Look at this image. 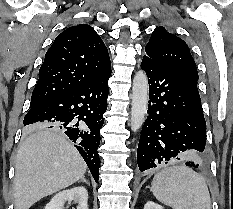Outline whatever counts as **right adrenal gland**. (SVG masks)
Returning a JSON list of instances; mask_svg holds the SVG:
<instances>
[{"mask_svg":"<svg viewBox=\"0 0 233 209\" xmlns=\"http://www.w3.org/2000/svg\"><path fill=\"white\" fill-rule=\"evenodd\" d=\"M82 181L85 182L87 185H89V182L86 180L85 176H83L81 180H79L78 182H82Z\"/></svg>","mask_w":233,"mask_h":209,"instance_id":"right-adrenal-gland-1","label":"right adrenal gland"}]
</instances>
